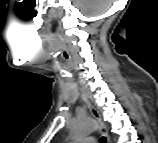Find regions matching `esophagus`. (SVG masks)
Here are the masks:
<instances>
[{
    "label": "esophagus",
    "instance_id": "esophagus-1",
    "mask_svg": "<svg viewBox=\"0 0 158 143\" xmlns=\"http://www.w3.org/2000/svg\"><path fill=\"white\" fill-rule=\"evenodd\" d=\"M82 98L86 102V104L89 108V111L91 112L94 119L98 122H101V115H100L99 111L87 100V98L84 94H82ZM100 133L105 139L104 143H108L109 142V137H108V134H107V131H106V127L103 123H101V125H100Z\"/></svg>",
    "mask_w": 158,
    "mask_h": 143
}]
</instances>
